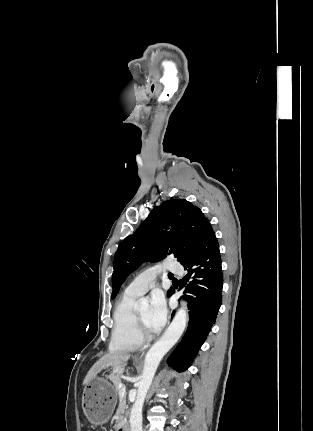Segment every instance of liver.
<instances>
[{
    "label": "liver",
    "mask_w": 313,
    "mask_h": 431,
    "mask_svg": "<svg viewBox=\"0 0 313 431\" xmlns=\"http://www.w3.org/2000/svg\"><path fill=\"white\" fill-rule=\"evenodd\" d=\"M129 359L130 354L126 352H110L105 354L88 371L83 385L95 378L101 370L108 367L113 369V374H121Z\"/></svg>",
    "instance_id": "liver-1"
}]
</instances>
